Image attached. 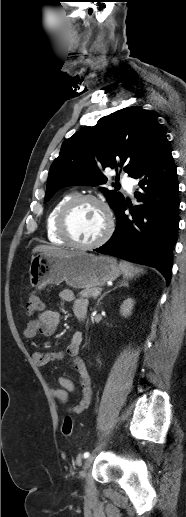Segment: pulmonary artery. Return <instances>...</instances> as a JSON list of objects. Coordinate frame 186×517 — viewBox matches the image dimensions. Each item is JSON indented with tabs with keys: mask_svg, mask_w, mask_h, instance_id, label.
<instances>
[{
	"mask_svg": "<svg viewBox=\"0 0 186 517\" xmlns=\"http://www.w3.org/2000/svg\"><path fill=\"white\" fill-rule=\"evenodd\" d=\"M121 183L123 184V186L126 188V190L128 191V193H132V190H133V181L131 178L127 177V176H122L121 177Z\"/></svg>",
	"mask_w": 186,
	"mask_h": 517,
	"instance_id": "pulmonary-artery-1",
	"label": "pulmonary artery"
}]
</instances>
